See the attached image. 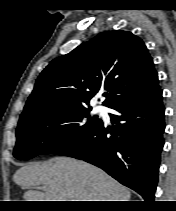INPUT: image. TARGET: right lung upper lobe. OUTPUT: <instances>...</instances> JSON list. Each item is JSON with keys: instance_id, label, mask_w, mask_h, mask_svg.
Wrapping results in <instances>:
<instances>
[{"instance_id": "right-lung-upper-lobe-1", "label": "right lung upper lobe", "mask_w": 176, "mask_h": 211, "mask_svg": "<svg viewBox=\"0 0 176 211\" xmlns=\"http://www.w3.org/2000/svg\"><path fill=\"white\" fill-rule=\"evenodd\" d=\"M157 84V72L143 41L128 31H106L50 62L20 118L87 106L101 89L107 90L103 105L112 108L148 93Z\"/></svg>"}]
</instances>
